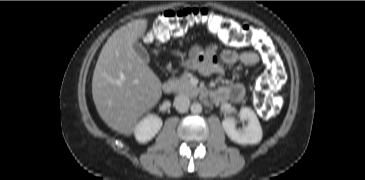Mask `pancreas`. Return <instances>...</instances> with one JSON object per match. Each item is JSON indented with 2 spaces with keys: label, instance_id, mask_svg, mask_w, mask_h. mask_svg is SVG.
I'll return each instance as SVG.
<instances>
[{
  "label": "pancreas",
  "instance_id": "cf45deb5",
  "mask_svg": "<svg viewBox=\"0 0 365 180\" xmlns=\"http://www.w3.org/2000/svg\"><path fill=\"white\" fill-rule=\"evenodd\" d=\"M171 82L174 84L175 91L189 97H195L200 90L190 83V77L184 74L180 78H173Z\"/></svg>",
  "mask_w": 365,
  "mask_h": 180
}]
</instances>
